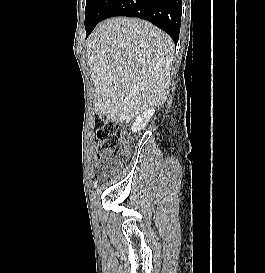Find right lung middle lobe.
Here are the masks:
<instances>
[{"mask_svg":"<svg viewBox=\"0 0 265 273\" xmlns=\"http://www.w3.org/2000/svg\"><path fill=\"white\" fill-rule=\"evenodd\" d=\"M114 0H87L85 8L86 31L95 28Z\"/></svg>","mask_w":265,"mask_h":273,"instance_id":"right-lung-middle-lobe-1","label":"right lung middle lobe"}]
</instances>
